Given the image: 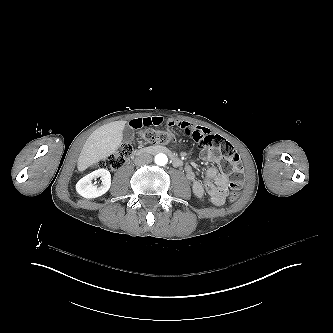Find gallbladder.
Masks as SVG:
<instances>
[{"label": "gallbladder", "mask_w": 333, "mask_h": 333, "mask_svg": "<svg viewBox=\"0 0 333 333\" xmlns=\"http://www.w3.org/2000/svg\"><path fill=\"white\" fill-rule=\"evenodd\" d=\"M122 134H123V141L125 143H131L135 139V130L129 125H126L124 127Z\"/></svg>", "instance_id": "gallbladder-1"}]
</instances>
